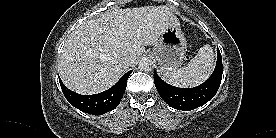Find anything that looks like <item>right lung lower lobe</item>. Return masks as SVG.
I'll return each mask as SVG.
<instances>
[{"label": "right lung lower lobe", "instance_id": "98d812e1", "mask_svg": "<svg viewBox=\"0 0 276 138\" xmlns=\"http://www.w3.org/2000/svg\"><path fill=\"white\" fill-rule=\"evenodd\" d=\"M132 71L124 74L121 79L110 89L94 94V95H81L69 90L60 80L59 82L64 96L70 104L77 109L92 114L102 115L114 108H116L126 90L127 80Z\"/></svg>", "mask_w": 276, "mask_h": 138}]
</instances>
